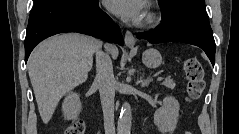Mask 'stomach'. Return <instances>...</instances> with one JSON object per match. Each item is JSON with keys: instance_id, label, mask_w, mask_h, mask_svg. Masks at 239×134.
Here are the masks:
<instances>
[{"instance_id": "obj_1", "label": "stomach", "mask_w": 239, "mask_h": 134, "mask_svg": "<svg viewBox=\"0 0 239 134\" xmlns=\"http://www.w3.org/2000/svg\"><path fill=\"white\" fill-rule=\"evenodd\" d=\"M142 62L148 68H157L162 63V56L158 50L150 48L142 53Z\"/></svg>"}]
</instances>
